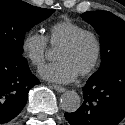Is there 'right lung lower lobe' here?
Masks as SVG:
<instances>
[{
  "label": "right lung lower lobe",
  "instance_id": "obj_1",
  "mask_svg": "<svg viewBox=\"0 0 125 125\" xmlns=\"http://www.w3.org/2000/svg\"><path fill=\"white\" fill-rule=\"evenodd\" d=\"M38 83L24 57L0 47V123L12 120L22 111L29 90Z\"/></svg>",
  "mask_w": 125,
  "mask_h": 125
}]
</instances>
